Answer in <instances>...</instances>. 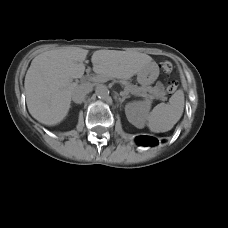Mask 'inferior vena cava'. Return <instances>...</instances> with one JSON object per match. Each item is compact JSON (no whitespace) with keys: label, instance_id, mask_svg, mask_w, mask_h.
<instances>
[{"label":"inferior vena cava","instance_id":"1","mask_svg":"<svg viewBox=\"0 0 228 228\" xmlns=\"http://www.w3.org/2000/svg\"><path fill=\"white\" fill-rule=\"evenodd\" d=\"M90 92V88L86 87L85 85H80L74 88L72 92V100L77 103L81 104L84 102L86 95Z\"/></svg>","mask_w":228,"mask_h":228}]
</instances>
